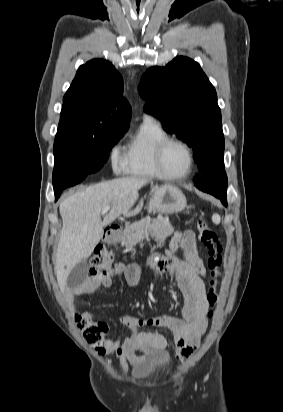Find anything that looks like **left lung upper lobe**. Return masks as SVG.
Listing matches in <instances>:
<instances>
[{
	"mask_svg": "<svg viewBox=\"0 0 283 412\" xmlns=\"http://www.w3.org/2000/svg\"><path fill=\"white\" fill-rule=\"evenodd\" d=\"M145 111L160 116L168 133H174L194 151L200 171L213 167V155L223 154L224 135L217 94L200 65L177 57L165 67H152L139 87ZM212 190L226 191L213 184Z\"/></svg>",
	"mask_w": 283,
	"mask_h": 412,
	"instance_id": "1",
	"label": "left lung upper lobe"
}]
</instances>
